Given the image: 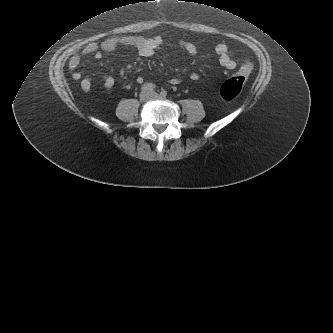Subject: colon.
Instances as JSON below:
<instances>
[{
	"instance_id": "5ec220e1",
	"label": "colon",
	"mask_w": 333,
	"mask_h": 333,
	"mask_svg": "<svg viewBox=\"0 0 333 333\" xmlns=\"http://www.w3.org/2000/svg\"><path fill=\"white\" fill-rule=\"evenodd\" d=\"M253 64L246 60L242 64L239 72L226 80L220 87V95L226 100H232L237 97L243 89L244 83L252 72Z\"/></svg>"
}]
</instances>
